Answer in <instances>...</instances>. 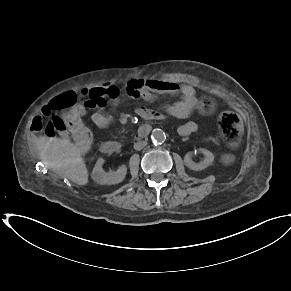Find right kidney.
<instances>
[{"label":"right kidney","instance_id":"ca27d5eb","mask_svg":"<svg viewBox=\"0 0 291 291\" xmlns=\"http://www.w3.org/2000/svg\"><path fill=\"white\" fill-rule=\"evenodd\" d=\"M104 163L103 158H99L92 171V178L98 184L113 185L122 182L125 179L127 173V167L122 165L117 171H111L106 173L102 165Z\"/></svg>","mask_w":291,"mask_h":291}]
</instances>
